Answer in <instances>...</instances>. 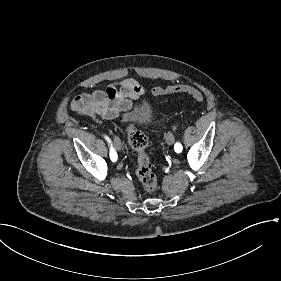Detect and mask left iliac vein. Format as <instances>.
<instances>
[{
    "instance_id": "left-iliac-vein-1",
    "label": "left iliac vein",
    "mask_w": 281,
    "mask_h": 281,
    "mask_svg": "<svg viewBox=\"0 0 281 281\" xmlns=\"http://www.w3.org/2000/svg\"><path fill=\"white\" fill-rule=\"evenodd\" d=\"M166 142L169 145H172L174 143V136L172 133H168L166 136Z\"/></svg>"
}]
</instances>
